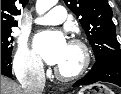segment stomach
<instances>
[{
  "instance_id": "0dacf381",
  "label": "stomach",
  "mask_w": 121,
  "mask_h": 94,
  "mask_svg": "<svg viewBox=\"0 0 121 94\" xmlns=\"http://www.w3.org/2000/svg\"><path fill=\"white\" fill-rule=\"evenodd\" d=\"M78 94H114L107 86L103 84H94L89 87L83 88Z\"/></svg>"
}]
</instances>
